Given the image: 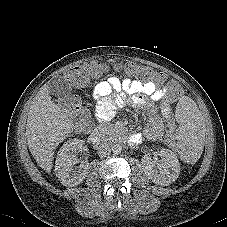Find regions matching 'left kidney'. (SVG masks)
Listing matches in <instances>:
<instances>
[{
	"label": "left kidney",
	"instance_id": "1",
	"mask_svg": "<svg viewBox=\"0 0 227 227\" xmlns=\"http://www.w3.org/2000/svg\"><path fill=\"white\" fill-rule=\"evenodd\" d=\"M160 160L154 161L146 158L145 174L157 185L168 186L180 174V164L177 156L168 149L159 151Z\"/></svg>",
	"mask_w": 227,
	"mask_h": 227
}]
</instances>
